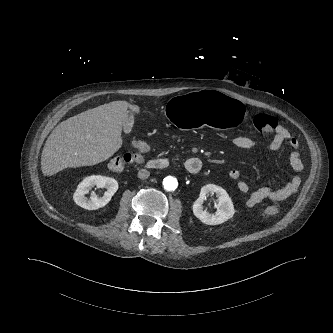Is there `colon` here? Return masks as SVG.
Here are the masks:
<instances>
[{"instance_id": "1", "label": "colon", "mask_w": 333, "mask_h": 333, "mask_svg": "<svg viewBox=\"0 0 333 333\" xmlns=\"http://www.w3.org/2000/svg\"><path fill=\"white\" fill-rule=\"evenodd\" d=\"M254 127L261 133H273L278 125L277 120L268 114H258L253 121ZM144 153H126L116 156L108 162V168L112 171H121L130 164H136L142 161ZM279 213L277 205H269L262 211L264 217H272Z\"/></svg>"}]
</instances>
